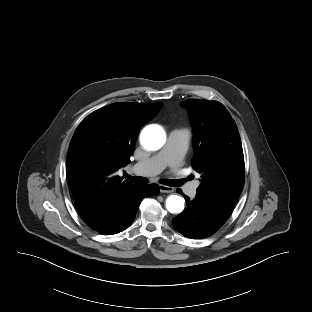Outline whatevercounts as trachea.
<instances>
[{
  "mask_svg": "<svg viewBox=\"0 0 312 312\" xmlns=\"http://www.w3.org/2000/svg\"><path fill=\"white\" fill-rule=\"evenodd\" d=\"M126 178L128 180H130L132 183H137V184H147L148 183V179L144 178V177H138V176H130V175H126ZM186 180H190V177L184 179V180H168V179H163L161 180V183L167 186H171V187H178L181 186L183 184V182H185Z\"/></svg>",
  "mask_w": 312,
  "mask_h": 312,
  "instance_id": "obj_1",
  "label": "trachea"
}]
</instances>
